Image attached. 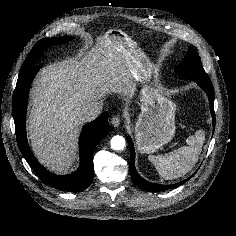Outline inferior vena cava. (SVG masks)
Masks as SVG:
<instances>
[{"label": "inferior vena cava", "mask_w": 236, "mask_h": 236, "mask_svg": "<svg viewBox=\"0 0 236 236\" xmlns=\"http://www.w3.org/2000/svg\"><path fill=\"white\" fill-rule=\"evenodd\" d=\"M103 110V103L100 101L91 102L83 107L81 115L82 120L89 122L97 118Z\"/></svg>", "instance_id": "1"}]
</instances>
